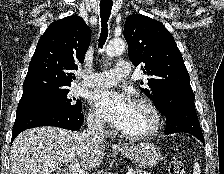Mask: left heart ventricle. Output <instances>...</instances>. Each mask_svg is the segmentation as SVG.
<instances>
[{
  "mask_svg": "<svg viewBox=\"0 0 224 174\" xmlns=\"http://www.w3.org/2000/svg\"><path fill=\"white\" fill-rule=\"evenodd\" d=\"M152 125V117L149 111L140 105L134 104L126 118L121 131L126 133H138L149 129Z\"/></svg>",
  "mask_w": 224,
  "mask_h": 174,
  "instance_id": "obj_1",
  "label": "left heart ventricle"
}]
</instances>
